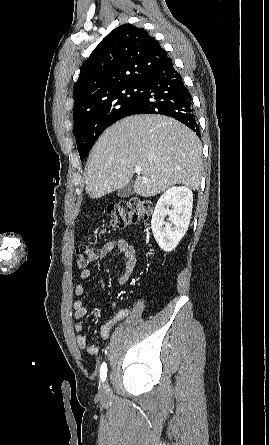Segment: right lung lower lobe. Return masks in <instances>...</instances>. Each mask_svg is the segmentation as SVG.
<instances>
[{
  "instance_id": "right-lung-lower-lobe-1",
  "label": "right lung lower lobe",
  "mask_w": 269,
  "mask_h": 445,
  "mask_svg": "<svg viewBox=\"0 0 269 445\" xmlns=\"http://www.w3.org/2000/svg\"><path fill=\"white\" fill-rule=\"evenodd\" d=\"M145 89L137 106L128 114H162L173 117L200 135L192 96L170 59L144 81Z\"/></svg>"
}]
</instances>
